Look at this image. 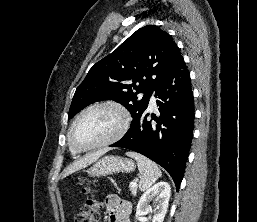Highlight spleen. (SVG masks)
I'll list each match as a JSON object with an SVG mask.
<instances>
[{
    "label": "spleen",
    "instance_id": "obj_1",
    "mask_svg": "<svg viewBox=\"0 0 257 222\" xmlns=\"http://www.w3.org/2000/svg\"><path fill=\"white\" fill-rule=\"evenodd\" d=\"M126 155L137 161L138 169L141 173L139 181V188L141 191L149 189L155 181L161 177L162 172L157 164L147 157L135 152H127Z\"/></svg>",
    "mask_w": 257,
    "mask_h": 222
}]
</instances>
